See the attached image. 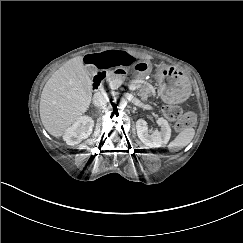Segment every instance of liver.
I'll use <instances>...</instances> for the list:
<instances>
[{
  "mask_svg": "<svg viewBox=\"0 0 243 243\" xmlns=\"http://www.w3.org/2000/svg\"><path fill=\"white\" fill-rule=\"evenodd\" d=\"M128 52L141 59H152L148 54ZM91 90V79L82 56L74 57L56 70L41 94L39 108L44 128L54 137L62 136L87 111Z\"/></svg>",
  "mask_w": 243,
  "mask_h": 243,
  "instance_id": "1",
  "label": "liver"
}]
</instances>
